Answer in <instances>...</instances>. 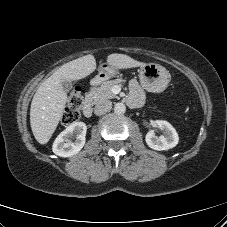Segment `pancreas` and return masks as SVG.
I'll return each instance as SVG.
<instances>
[{
  "label": "pancreas",
  "mask_w": 227,
  "mask_h": 227,
  "mask_svg": "<svg viewBox=\"0 0 227 227\" xmlns=\"http://www.w3.org/2000/svg\"><path fill=\"white\" fill-rule=\"evenodd\" d=\"M123 82H125V80H123L122 78L106 81L102 83L100 87L92 88L86 94V98L95 104L103 100L116 98L117 96L113 94L112 88L115 85H122Z\"/></svg>",
  "instance_id": "obj_1"
}]
</instances>
